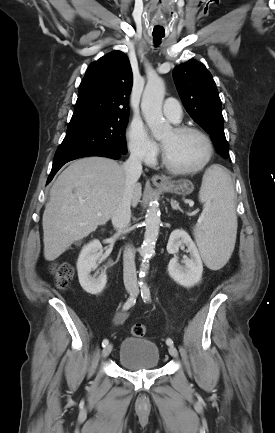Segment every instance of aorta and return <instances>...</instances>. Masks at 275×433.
<instances>
[{
	"label": "aorta",
	"mask_w": 275,
	"mask_h": 433,
	"mask_svg": "<svg viewBox=\"0 0 275 433\" xmlns=\"http://www.w3.org/2000/svg\"><path fill=\"white\" fill-rule=\"evenodd\" d=\"M165 94V85L161 78H149L143 92L141 110L144 119L156 139L164 136L171 128L162 114V103ZM160 211L155 204L150 205L145 215V234L140 255L149 259L155 252V244L160 229ZM148 266L142 265L141 275H145Z\"/></svg>",
	"instance_id": "obj_1"
}]
</instances>
